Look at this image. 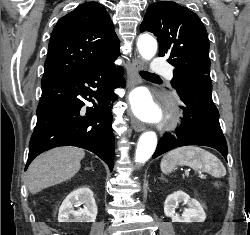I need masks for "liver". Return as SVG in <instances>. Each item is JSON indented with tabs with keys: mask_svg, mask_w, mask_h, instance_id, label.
<instances>
[{
	"mask_svg": "<svg viewBox=\"0 0 250 235\" xmlns=\"http://www.w3.org/2000/svg\"><path fill=\"white\" fill-rule=\"evenodd\" d=\"M84 150L59 147L38 156L27 171V187L31 194L72 178L80 170Z\"/></svg>",
	"mask_w": 250,
	"mask_h": 235,
	"instance_id": "liver-1",
	"label": "liver"
}]
</instances>
